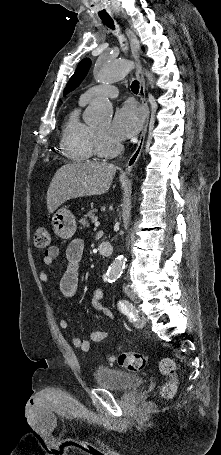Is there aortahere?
I'll use <instances>...</instances> for the list:
<instances>
[{
    "label": "aorta",
    "mask_w": 221,
    "mask_h": 455,
    "mask_svg": "<svg viewBox=\"0 0 221 455\" xmlns=\"http://www.w3.org/2000/svg\"><path fill=\"white\" fill-rule=\"evenodd\" d=\"M133 68V63L128 60H110L101 61L94 72L95 80L98 83H112L124 79L130 70ZM145 75L151 85L154 87V78L149 71H145ZM113 108L109 100L104 98H96L88 107L85 115V121L89 124H98L109 120L112 117ZM126 264V257L120 255L109 266L106 276L108 280L117 279Z\"/></svg>",
    "instance_id": "obj_1"
}]
</instances>
